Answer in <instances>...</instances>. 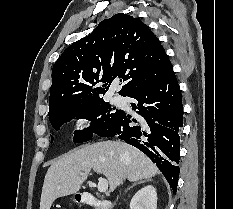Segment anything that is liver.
I'll use <instances>...</instances> for the list:
<instances>
[{"label": "liver", "mask_w": 233, "mask_h": 209, "mask_svg": "<svg viewBox=\"0 0 233 209\" xmlns=\"http://www.w3.org/2000/svg\"><path fill=\"white\" fill-rule=\"evenodd\" d=\"M91 170L107 178L110 191L125 178L136 182L159 173L147 156L125 142L108 140L87 144L50 166L44 179L40 209H50L57 198L77 193Z\"/></svg>", "instance_id": "6515ba94"}]
</instances>
